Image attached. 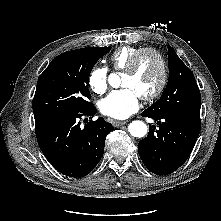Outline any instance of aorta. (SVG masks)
<instances>
[{
    "instance_id": "obj_1",
    "label": "aorta",
    "mask_w": 221,
    "mask_h": 221,
    "mask_svg": "<svg viewBox=\"0 0 221 221\" xmlns=\"http://www.w3.org/2000/svg\"><path fill=\"white\" fill-rule=\"evenodd\" d=\"M108 82L112 87H118L120 78L117 74H110ZM129 133L134 137H144L147 134L148 127L143 121H132L128 126Z\"/></svg>"
}]
</instances>
